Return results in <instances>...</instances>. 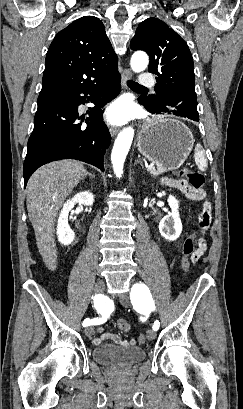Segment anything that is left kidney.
Wrapping results in <instances>:
<instances>
[{"label":"left kidney","mask_w":243,"mask_h":409,"mask_svg":"<svg viewBox=\"0 0 243 409\" xmlns=\"http://www.w3.org/2000/svg\"><path fill=\"white\" fill-rule=\"evenodd\" d=\"M168 204L172 212L161 219L159 232L166 240L175 241L182 232V223L178 211L179 202L174 196L170 195Z\"/></svg>","instance_id":"obj_1"}]
</instances>
